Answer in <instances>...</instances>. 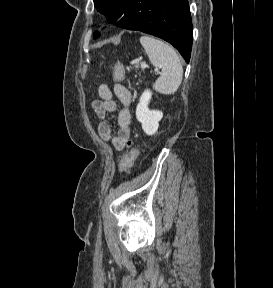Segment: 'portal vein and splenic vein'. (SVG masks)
Instances as JSON below:
<instances>
[{
    "instance_id": "portal-vein-and-splenic-vein-1",
    "label": "portal vein and splenic vein",
    "mask_w": 273,
    "mask_h": 288,
    "mask_svg": "<svg viewBox=\"0 0 273 288\" xmlns=\"http://www.w3.org/2000/svg\"><path fill=\"white\" fill-rule=\"evenodd\" d=\"M141 67H144V64H141ZM155 71H158V69H155Z\"/></svg>"
}]
</instances>
